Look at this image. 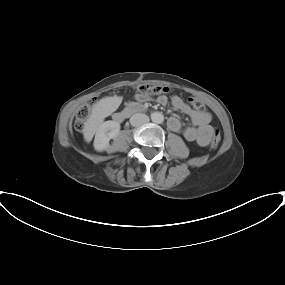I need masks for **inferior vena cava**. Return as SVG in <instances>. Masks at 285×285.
Here are the masks:
<instances>
[{"label": "inferior vena cava", "mask_w": 285, "mask_h": 285, "mask_svg": "<svg viewBox=\"0 0 285 285\" xmlns=\"http://www.w3.org/2000/svg\"><path fill=\"white\" fill-rule=\"evenodd\" d=\"M149 122V117L142 113H136L130 118V123L134 127L141 126Z\"/></svg>", "instance_id": "1"}]
</instances>
